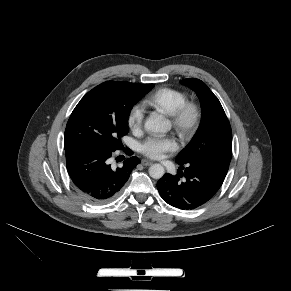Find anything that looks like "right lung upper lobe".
Masks as SVG:
<instances>
[{"instance_id": "1", "label": "right lung upper lobe", "mask_w": 291, "mask_h": 291, "mask_svg": "<svg viewBox=\"0 0 291 291\" xmlns=\"http://www.w3.org/2000/svg\"><path fill=\"white\" fill-rule=\"evenodd\" d=\"M108 82H114V83H118L119 85H126V84H130L128 82H121V81H108Z\"/></svg>"}]
</instances>
